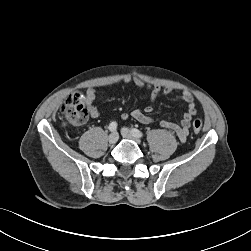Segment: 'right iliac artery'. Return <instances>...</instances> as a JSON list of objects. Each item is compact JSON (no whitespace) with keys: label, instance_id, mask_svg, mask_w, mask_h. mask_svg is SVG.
I'll list each match as a JSON object with an SVG mask.
<instances>
[{"label":"right iliac artery","instance_id":"obj_1","mask_svg":"<svg viewBox=\"0 0 251 251\" xmlns=\"http://www.w3.org/2000/svg\"><path fill=\"white\" fill-rule=\"evenodd\" d=\"M109 130L111 131V132H114V131H116V129H117V123L116 122H111L110 124H109Z\"/></svg>","mask_w":251,"mask_h":251}]
</instances>
